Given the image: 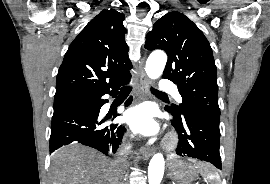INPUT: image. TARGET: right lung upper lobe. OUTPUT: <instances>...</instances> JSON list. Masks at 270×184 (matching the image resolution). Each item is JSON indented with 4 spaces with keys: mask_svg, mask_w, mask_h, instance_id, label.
Listing matches in <instances>:
<instances>
[{
    "mask_svg": "<svg viewBox=\"0 0 270 184\" xmlns=\"http://www.w3.org/2000/svg\"><path fill=\"white\" fill-rule=\"evenodd\" d=\"M124 18L103 10L85 26L64 56L55 97L111 89L131 77Z\"/></svg>",
    "mask_w": 270,
    "mask_h": 184,
    "instance_id": "obj_1",
    "label": "right lung upper lobe"
}]
</instances>
